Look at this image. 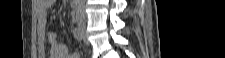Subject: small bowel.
<instances>
[{
  "label": "small bowel",
  "instance_id": "small-bowel-1",
  "mask_svg": "<svg viewBox=\"0 0 225 58\" xmlns=\"http://www.w3.org/2000/svg\"><path fill=\"white\" fill-rule=\"evenodd\" d=\"M55 0H37V32L38 50L42 57H45V41L49 45V58H79V54L68 53L66 46L58 41L56 32L47 33L48 18L47 13L54 5Z\"/></svg>",
  "mask_w": 225,
  "mask_h": 58
}]
</instances>
